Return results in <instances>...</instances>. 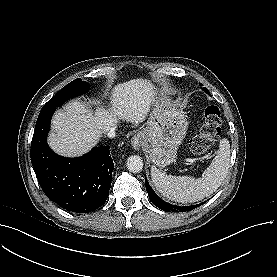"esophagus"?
Listing matches in <instances>:
<instances>
[{"label":"esophagus","mask_w":277,"mask_h":277,"mask_svg":"<svg viewBox=\"0 0 277 277\" xmlns=\"http://www.w3.org/2000/svg\"><path fill=\"white\" fill-rule=\"evenodd\" d=\"M131 145L134 149L140 150L144 145V137L140 133L135 134L131 140Z\"/></svg>","instance_id":"obj_1"}]
</instances>
